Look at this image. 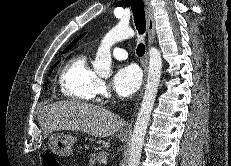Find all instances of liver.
Segmentation results:
<instances>
[{
	"label": "liver",
	"instance_id": "liver-1",
	"mask_svg": "<svg viewBox=\"0 0 231 166\" xmlns=\"http://www.w3.org/2000/svg\"><path fill=\"white\" fill-rule=\"evenodd\" d=\"M38 122L44 137L54 131L68 130L105 138L124 125V121L111 111L76 100L59 101L42 107Z\"/></svg>",
	"mask_w": 231,
	"mask_h": 166
}]
</instances>
